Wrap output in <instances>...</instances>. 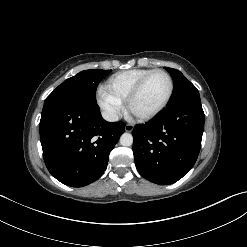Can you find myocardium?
Segmentation results:
<instances>
[{"label": "myocardium", "instance_id": "obj_1", "mask_svg": "<svg viewBox=\"0 0 247 247\" xmlns=\"http://www.w3.org/2000/svg\"><path fill=\"white\" fill-rule=\"evenodd\" d=\"M157 73H161L163 75H165L169 81V90L167 93L166 98L164 99V101L162 102V104L160 106H158L155 110L147 113V114H142V115H138L135 114L132 111V104L134 102V100L138 97V95L141 93L144 85L146 84V82L148 81V79ZM174 92V81L171 77V75L163 70V69H154L152 71H150L149 73H147L144 77H142L139 82L135 85V87L133 88V90L130 92V94L128 95L127 99H126V107L129 113H131L136 119L141 120V121H147L150 120L154 117H156L158 114H160L169 104L172 95Z\"/></svg>", "mask_w": 247, "mask_h": 247}]
</instances>
